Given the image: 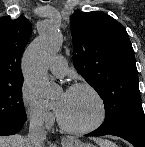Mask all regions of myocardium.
<instances>
[{
  "label": "myocardium",
  "instance_id": "f54148a6",
  "mask_svg": "<svg viewBox=\"0 0 145 147\" xmlns=\"http://www.w3.org/2000/svg\"><path fill=\"white\" fill-rule=\"evenodd\" d=\"M79 89H85V90L89 91L96 99L98 106H99L98 118L90 125L83 126V127H75V126H71V125L67 124L62 119L58 110L56 111V113H57V120H58L59 126L64 131L71 133V134L81 135V134L91 133V132L99 129L105 123L106 118H107V106H106V103H105L103 97L99 93V91L94 86H92L88 83H75L68 88L67 92L79 90Z\"/></svg>",
  "mask_w": 145,
  "mask_h": 147
}]
</instances>
